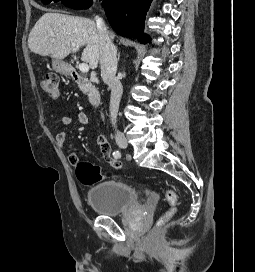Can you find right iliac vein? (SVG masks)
Listing matches in <instances>:
<instances>
[{
	"instance_id": "obj_1",
	"label": "right iliac vein",
	"mask_w": 255,
	"mask_h": 272,
	"mask_svg": "<svg viewBox=\"0 0 255 272\" xmlns=\"http://www.w3.org/2000/svg\"><path fill=\"white\" fill-rule=\"evenodd\" d=\"M115 140L120 148H126L128 145L126 137L121 133L116 134Z\"/></svg>"
}]
</instances>
